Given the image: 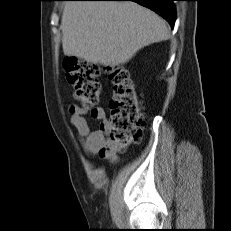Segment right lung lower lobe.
<instances>
[{
  "label": "right lung lower lobe",
  "instance_id": "obj_1",
  "mask_svg": "<svg viewBox=\"0 0 231 231\" xmlns=\"http://www.w3.org/2000/svg\"><path fill=\"white\" fill-rule=\"evenodd\" d=\"M82 1H134L158 13L174 27L176 13L174 0H82Z\"/></svg>",
  "mask_w": 231,
  "mask_h": 231
}]
</instances>
